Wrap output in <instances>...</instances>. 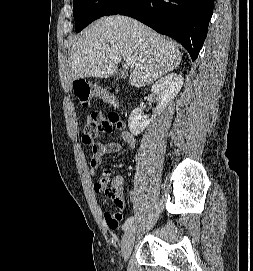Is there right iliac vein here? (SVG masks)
<instances>
[{
    "mask_svg": "<svg viewBox=\"0 0 253 271\" xmlns=\"http://www.w3.org/2000/svg\"><path fill=\"white\" fill-rule=\"evenodd\" d=\"M135 239V226H130L124 233L121 240V253L126 261L131 253Z\"/></svg>",
    "mask_w": 253,
    "mask_h": 271,
    "instance_id": "1",
    "label": "right iliac vein"
}]
</instances>
